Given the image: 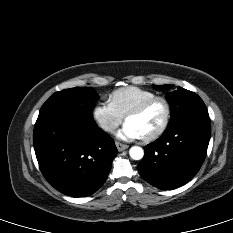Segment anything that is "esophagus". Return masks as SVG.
<instances>
[{
  "mask_svg": "<svg viewBox=\"0 0 233 233\" xmlns=\"http://www.w3.org/2000/svg\"><path fill=\"white\" fill-rule=\"evenodd\" d=\"M115 144L119 152L124 151L129 147L128 145L122 144L120 142H116Z\"/></svg>",
  "mask_w": 233,
  "mask_h": 233,
  "instance_id": "34e87169",
  "label": "esophagus"
}]
</instances>
